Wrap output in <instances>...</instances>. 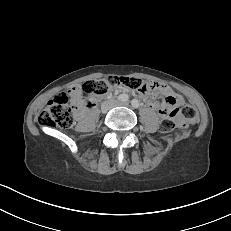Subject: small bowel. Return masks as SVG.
Wrapping results in <instances>:
<instances>
[{
	"label": "small bowel",
	"mask_w": 231,
	"mask_h": 231,
	"mask_svg": "<svg viewBox=\"0 0 231 231\" xmlns=\"http://www.w3.org/2000/svg\"><path fill=\"white\" fill-rule=\"evenodd\" d=\"M150 84H155L157 86L154 94L160 93L165 96V101L163 103H158L150 99L149 95H145V99L147 100L149 107L156 110L159 113V115L164 116L165 113H167L170 110L172 105H178L183 103V99L179 95H177L169 86L163 84H157V83H150ZM120 90L121 87H117L113 91L119 92ZM69 92L72 98L74 99L82 98V93L79 86H74L70 88Z\"/></svg>",
	"instance_id": "c3829d8e"
}]
</instances>
